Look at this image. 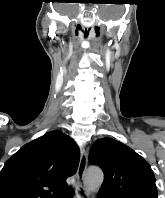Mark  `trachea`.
Segmentation results:
<instances>
[{
	"mask_svg": "<svg viewBox=\"0 0 165 198\" xmlns=\"http://www.w3.org/2000/svg\"><path fill=\"white\" fill-rule=\"evenodd\" d=\"M72 194H73L72 189L69 188L64 193H62L60 196H58V198H71Z\"/></svg>",
	"mask_w": 165,
	"mask_h": 198,
	"instance_id": "1",
	"label": "trachea"
}]
</instances>
